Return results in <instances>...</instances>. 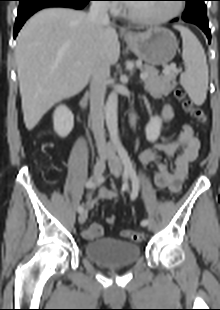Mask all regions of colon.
I'll use <instances>...</instances> for the list:
<instances>
[{"mask_svg": "<svg viewBox=\"0 0 220 310\" xmlns=\"http://www.w3.org/2000/svg\"><path fill=\"white\" fill-rule=\"evenodd\" d=\"M177 99L183 102V107L186 111H188L196 120L201 123H205L207 121V114L203 108L193 104L191 101L187 100L185 97V93L182 89H177L175 92ZM116 221V217L111 215L107 218V222L109 224H113ZM121 236L124 238H128L134 242H140L144 238V234L135 230H123L121 232Z\"/></svg>", "mask_w": 220, "mask_h": 310, "instance_id": "colon-1", "label": "colon"}]
</instances>
